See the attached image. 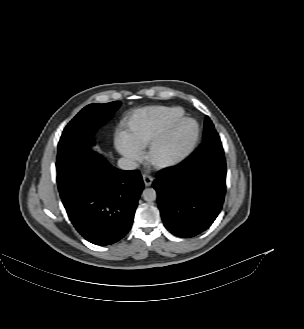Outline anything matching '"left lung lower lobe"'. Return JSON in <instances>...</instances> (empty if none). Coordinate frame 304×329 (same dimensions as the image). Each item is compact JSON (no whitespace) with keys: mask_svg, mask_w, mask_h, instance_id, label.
I'll use <instances>...</instances> for the list:
<instances>
[{"mask_svg":"<svg viewBox=\"0 0 304 329\" xmlns=\"http://www.w3.org/2000/svg\"><path fill=\"white\" fill-rule=\"evenodd\" d=\"M165 227L189 238L214 222L226 191V162L219 135L213 131L199 148L170 171H160L153 182Z\"/></svg>","mask_w":304,"mask_h":329,"instance_id":"left-lung-lower-lobe-1","label":"left lung lower lobe"}]
</instances>
